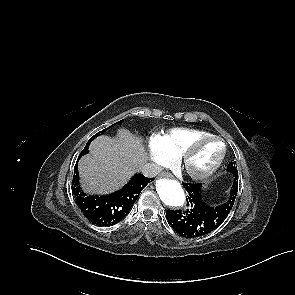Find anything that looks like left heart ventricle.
<instances>
[{
	"label": "left heart ventricle",
	"instance_id": "b2bd125f",
	"mask_svg": "<svg viewBox=\"0 0 295 295\" xmlns=\"http://www.w3.org/2000/svg\"><path fill=\"white\" fill-rule=\"evenodd\" d=\"M220 151L221 146L216 141H209L202 144L190 160V169L197 172L208 169L216 161Z\"/></svg>",
	"mask_w": 295,
	"mask_h": 295
}]
</instances>
